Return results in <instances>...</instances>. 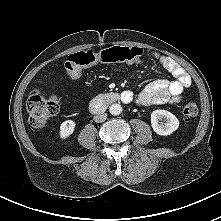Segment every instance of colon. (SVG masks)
<instances>
[{"instance_id": "colon-1", "label": "colon", "mask_w": 221, "mask_h": 221, "mask_svg": "<svg viewBox=\"0 0 221 221\" xmlns=\"http://www.w3.org/2000/svg\"><path fill=\"white\" fill-rule=\"evenodd\" d=\"M142 57L143 50L139 47L115 46L103 50H86L70 55L66 69L71 77H77L83 68L97 63H139ZM26 105L30 123L36 129L45 127L59 108L55 97L46 96L38 90L29 95ZM182 113L187 119L195 118L198 115V107L195 104H186Z\"/></svg>"}]
</instances>
